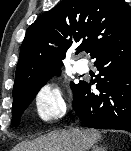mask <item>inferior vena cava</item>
<instances>
[{
  "instance_id": "1",
  "label": "inferior vena cava",
  "mask_w": 131,
  "mask_h": 151,
  "mask_svg": "<svg viewBox=\"0 0 131 151\" xmlns=\"http://www.w3.org/2000/svg\"><path fill=\"white\" fill-rule=\"evenodd\" d=\"M71 131L75 135H79L80 134V131L78 129H72Z\"/></svg>"
}]
</instances>
